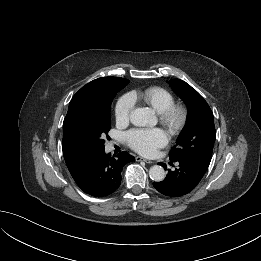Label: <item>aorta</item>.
<instances>
[{
  "mask_svg": "<svg viewBox=\"0 0 261 261\" xmlns=\"http://www.w3.org/2000/svg\"><path fill=\"white\" fill-rule=\"evenodd\" d=\"M130 121L135 126H146L155 122L154 112L148 107L134 109L130 114ZM165 170L159 165L149 169V176L155 182H161L165 178Z\"/></svg>",
  "mask_w": 261,
  "mask_h": 261,
  "instance_id": "obj_1",
  "label": "aorta"
}]
</instances>
